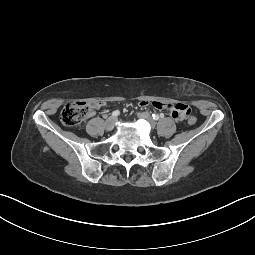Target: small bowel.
Returning a JSON list of instances; mask_svg holds the SVG:
<instances>
[{
    "label": "small bowel",
    "mask_w": 255,
    "mask_h": 255,
    "mask_svg": "<svg viewBox=\"0 0 255 255\" xmlns=\"http://www.w3.org/2000/svg\"><path fill=\"white\" fill-rule=\"evenodd\" d=\"M141 105H148L149 102L143 101L140 103ZM103 104L101 102H95L92 104L94 109H98ZM151 105L160 110H165L169 112L172 118L176 121L184 120L188 118L191 114V107L188 104H171V103H162V102H152ZM94 112H90V115H93Z\"/></svg>",
    "instance_id": "1"
}]
</instances>
